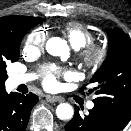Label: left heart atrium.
I'll return each mask as SVG.
<instances>
[{"label": "left heart atrium", "instance_id": "1", "mask_svg": "<svg viewBox=\"0 0 131 131\" xmlns=\"http://www.w3.org/2000/svg\"><path fill=\"white\" fill-rule=\"evenodd\" d=\"M44 70L47 73L46 78L44 80V86L48 89H52L57 84V78L63 72L55 65H48V66L44 67Z\"/></svg>", "mask_w": 131, "mask_h": 131}]
</instances>
